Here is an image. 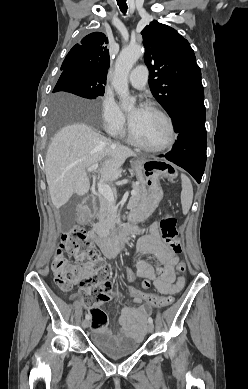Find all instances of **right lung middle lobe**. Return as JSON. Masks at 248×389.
<instances>
[{
	"instance_id": "obj_1",
	"label": "right lung middle lobe",
	"mask_w": 248,
	"mask_h": 389,
	"mask_svg": "<svg viewBox=\"0 0 248 389\" xmlns=\"http://www.w3.org/2000/svg\"><path fill=\"white\" fill-rule=\"evenodd\" d=\"M63 70V69H62ZM106 79L78 70H63L53 92L66 91L87 99H96L104 95ZM82 113L93 116L95 110L91 107L81 109Z\"/></svg>"
}]
</instances>
